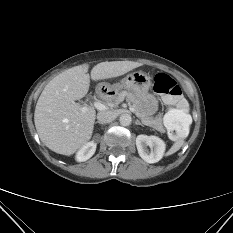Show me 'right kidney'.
I'll return each mask as SVG.
<instances>
[{
  "instance_id": "right-kidney-1",
  "label": "right kidney",
  "mask_w": 233,
  "mask_h": 233,
  "mask_svg": "<svg viewBox=\"0 0 233 233\" xmlns=\"http://www.w3.org/2000/svg\"><path fill=\"white\" fill-rule=\"evenodd\" d=\"M96 151V142L91 141L86 143L81 147V149L76 154V160L79 162H83L88 160L93 156Z\"/></svg>"
}]
</instances>
